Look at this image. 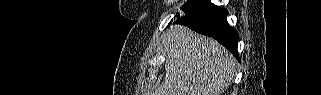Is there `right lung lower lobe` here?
Returning a JSON list of instances; mask_svg holds the SVG:
<instances>
[{
    "label": "right lung lower lobe",
    "instance_id": "obj_1",
    "mask_svg": "<svg viewBox=\"0 0 321 95\" xmlns=\"http://www.w3.org/2000/svg\"><path fill=\"white\" fill-rule=\"evenodd\" d=\"M227 15L228 11L225 8L209 4L192 15L179 18L174 24L186 25L198 33L216 39L239 59L237 52L239 35L228 24Z\"/></svg>",
    "mask_w": 321,
    "mask_h": 95
}]
</instances>
